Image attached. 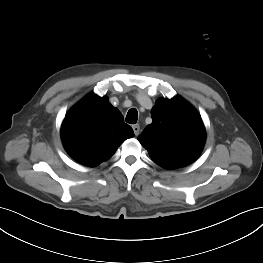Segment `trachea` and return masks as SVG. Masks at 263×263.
<instances>
[{
    "mask_svg": "<svg viewBox=\"0 0 263 263\" xmlns=\"http://www.w3.org/2000/svg\"><path fill=\"white\" fill-rule=\"evenodd\" d=\"M138 119V112L135 108H131L126 116V122L129 124H135Z\"/></svg>",
    "mask_w": 263,
    "mask_h": 263,
    "instance_id": "obj_1",
    "label": "trachea"
}]
</instances>
